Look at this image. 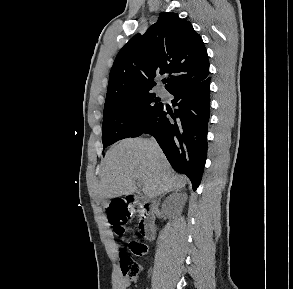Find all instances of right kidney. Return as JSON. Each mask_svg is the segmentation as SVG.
<instances>
[{"label":"right kidney","mask_w":293,"mask_h":289,"mask_svg":"<svg viewBox=\"0 0 293 289\" xmlns=\"http://www.w3.org/2000/svg\"><path fill=\"white\" fill-rule=\"evenodd\" d=\"M185 202V199L180 194H172L162 205L163 210L169 214H178Z\"/></svg>","instance_id":"ca27d5eb"}]
</instances>
